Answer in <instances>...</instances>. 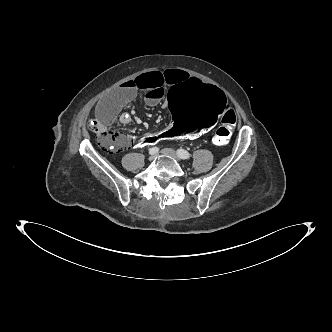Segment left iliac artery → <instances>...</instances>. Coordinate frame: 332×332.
Listing matches in <instances>:
<instances>
[{
	"label": "left iliac artery",
	"mask_w": 332,
	"mask_h": 332,
	"mask_svg": "<svg viewBox=\"0 0 332 332\" xmlns=\"http://www.w3.org/2000/svg\"><path fill=\"white\" fill-rule=\"evenodd\" d=\"M177 154L181 159H189L191 157L190 153L184 149H178Z\"/></svg>",
	"instance_id": "obj_1"
}]
</instances>
